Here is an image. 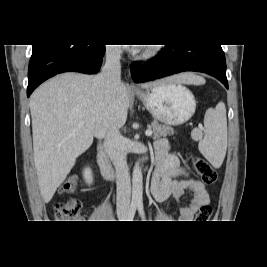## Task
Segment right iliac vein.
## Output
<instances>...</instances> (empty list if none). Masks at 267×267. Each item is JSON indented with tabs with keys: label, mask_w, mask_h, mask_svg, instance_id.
Instances as JSON below:
<instances>
[{
	"label": "right iliac vein",
	"mask_w": 267,
	"mask_h": 267,
	"mask_svg": "<svg viewBox=\"0 0 267 267\" xmlns=\"http://www.w3.org/2000/svg\"><path fill=\"white\" fill-rule=\"evenodd\" d=\"M127 217V211H119L118 212V218L121 219V220H124L126 219Z\"/></svg>",
	"instance_id": "1"
}]
</instances>
